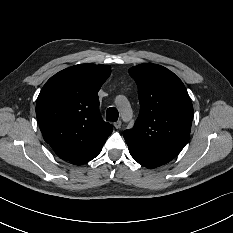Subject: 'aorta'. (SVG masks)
<instances>
[{
  "instance_id": "1",
  "label": "aorta",
  "mask_w": 233,
  "mask_h": 233,
  "mask_svg": "<svg viewBox=\"0 0 233 233\" xmlns=\"http://www.w3.org/2000/svg\"><path fill=\"white\" fill-rule=\"evenodd\" d=\"M130 113H131V118H132V110H130ZM124 119V118H123Z\"/></svg>"
}]
</instances>
